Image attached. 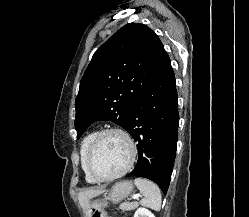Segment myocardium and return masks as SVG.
Wrapping results in <instances>:
<instances>
[{
    "label": "myocardium",
    "mask_w": 249,
    "mask_h": 217,
    "mask_svg": "<svg viewBox=\"0 0 249 217\" xmlns=\"http://www.w3.org/2000/svg\"><path fill=\"white\" fill-rule=\"evenodd\" d=\"M108 134L121 135L126 140L128 146H129L130 156H129V160H128L126 166L122 170H120L119 172H117L111 176L101 177V176L96 175L94 173V171L92 170L91 160H92V156H93V153L95 151L97 144L104 136H106ZM136 156H137V149H136L135 143H134L132 137L129 135V133H127L125 130L120 129V128H106V129L99 131L95 135V137L93 138V140L91 141V143L89 145V148H88V151L86 154V159H85L86 170H87L88 174L97 182L113 181L117 178L124 176L125 174H127L131 170V168L134 166Z\"/></svg>",
    "instance_id": "1"
}]
</instances>
